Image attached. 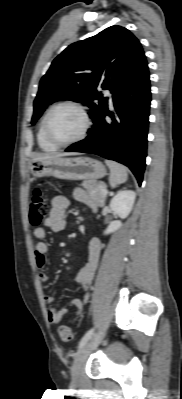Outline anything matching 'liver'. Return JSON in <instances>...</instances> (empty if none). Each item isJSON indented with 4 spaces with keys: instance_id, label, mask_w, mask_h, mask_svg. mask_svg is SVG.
<instances>
[{
    "instance_id": "liver-1",
    "label": "liver",
    "mask_w": 182,
    "mask_h": 399,
    "mask_svg": "<svg viewBox=\"0 0 182 399\" xmlns=\"http://www.w3.org/2000/svg\"><path fill=\"white\" fill-rule=\"evenodd\" d=\"M64 155H66V154L42 155L40 157L35 158L34 160H44V159H48V158L61 157V156H64Z\"/></svg>"
}]
</instances>
